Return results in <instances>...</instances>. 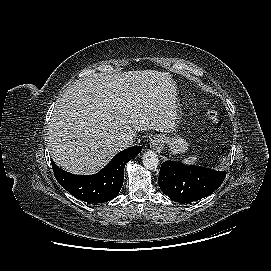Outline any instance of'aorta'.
Masks as SVG:
<instances>
[{"mask_svg": "<svg viewBox=\"0 0 271 271\" xmlns=\"http://www.w3.org/2000/svg\"><path fill=\"white\" fill-rule=\"evenodd\" d=\"M142 162H143V165L147 169L153 170V169H156L158 167L159 158H158V155L155 152L149 150V151H146L143 154Z\"/></svg>", "mask_w": 271, "mask_h": 271, "instance_id": "1", "label": "aorta"}]
</instances>
